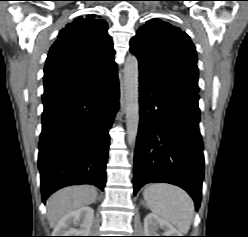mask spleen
Instances as JSON below:
<instances>
[{
    "label": "spleen",
    "mask_w": 248,
    "mask_h": 237,
    "mask_svg": "<svg viewBox=\"0 0 248 237\" xmlns=\"http://www.w3.org/2000/svg\"><path fill=\"white\" fill-rule=\"evenodd\" d=\"M143 196L150 210L187 234L194 215V203L181 188L170 184H150Z\"/></svg>",
    "instance_id": "obj_1"
}]
</instances>
